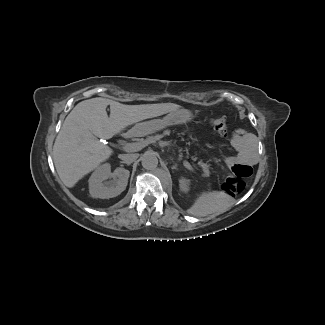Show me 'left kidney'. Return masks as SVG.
I'll list each match as a JSON object with an SVG mask.
<instances>
[{
	"label": "left kidney",
	"instance_id": "left-kidney-1",
	"mask_svg": "<svg viewBox=\"0 0 325 325\" xmlns=\"http://www.w3.org/2000/svg\"><path fill=\"white\" fill-rule=\"evenodd\" d=\"M189 184H190V180L189 179H186L184 177L180 178V180H179V187H180V190L182 192H188V190H189Z\"/></svg>",
	"mask_w": 325,
	"mask_h": 325
}]
</instances>
